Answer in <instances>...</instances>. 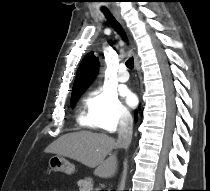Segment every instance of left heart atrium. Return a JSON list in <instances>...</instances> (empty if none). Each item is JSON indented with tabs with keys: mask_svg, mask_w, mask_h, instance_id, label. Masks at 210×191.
<instances>
[{
	"mask_svg": "<svg viewBox=\"0 0 210 191\" xmlns=\"http://www.w3.org/2000/svg\"><path fill=\"white\" fill-rule=\"evenodd\" d=\"M122 95H123V97H124L126 103H127L129 106L133 107V106L136 104L137 98H136L135 94L132 93L130 90H128V89H123V90H122Z\"/></svg>",
	"mask_w": 210,
	"mask_h": 191,
	"instance_id": "left-heart-atrium-1",
	"label": "left heart atrium"
}]
</instances>
